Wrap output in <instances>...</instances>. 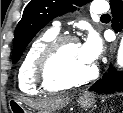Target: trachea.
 <instances>
[{
  "instance_id": "3493384b",
  "label": "trachea",
  "mask_w": 123,
  "mask_h": 113,
  "mask_svg": "<svg viewBox=\"0 0 123 113\" xmlns=\"http://www.w3.org/2000/svg\"><path fill=\"white\" fill-rule=\"evenodd\" d=\"M102 18H110V15L109 14H104L101 16Z\"/></svg>"
}]
</instances>
